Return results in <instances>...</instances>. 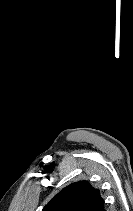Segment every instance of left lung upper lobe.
Segmentation results:
<instances>
[{
  "label": "left lung upper lobe",
  "mask_w": 133,
  "mask_h": 211,
  "mask_svg": "<svg viewBox=\"0 0 133 211\" xmlns=\"http://www.w3.org/2000/svg\"><path fill=\"white\" fill-rule=\"evenodd\" d=\"M103 205L99 190L80 181L62 189L42 211H98Z\"/></svg>",
  "instance_id": "left-lung-upper-lobe-1"
}]
</instances>
